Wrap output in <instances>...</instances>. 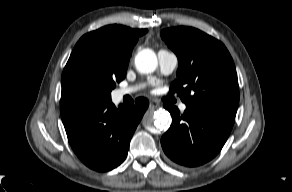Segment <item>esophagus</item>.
<instances>
[{"label": "esophagus", "instance_id": "obj_1", "mask_svg": "<svg viewBox=\"0 0 292 192\" xmlns=\"http://www.w3.org/2000/svg\"><path fill=\"white\" fill-rule=\"evenodd\" d=\"M157 107H159V103L157 101L153 100L150 102V104H149L150 109H155Z\"/></svg>", "mask_w": 292, "mask_h": 192}]
</instances>
